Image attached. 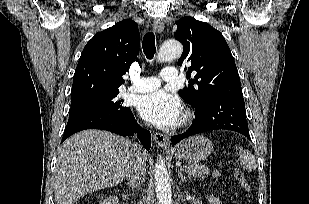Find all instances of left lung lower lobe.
<instances>
[{"label": "left lung lower lobe", "instance_id": "obj_1", "mask_svg": "<svg viewBox=\"0 0 309 204\" xmlns=\"http://www.w3.org/2000/svg\"><path fill=\"white\" fill-rule=\"evenodd\" d=\"M218 129L232 130L249 138L243 98H220L197 109L192 126L186 132L171 137V142L177 144L195 134Z\"/></svg>", "mask_w": 309, "mask_h": 204}]
</instances>
